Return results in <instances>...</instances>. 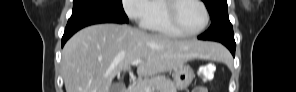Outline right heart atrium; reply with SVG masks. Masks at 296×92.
<instances>
[{
  "instance_id": "right-heart-atrium-1",
  "label": "right heart atrium",
  "mask_w": 296,
  "mask_h": 92,
  "mask_svg": "<svg viewBox=\"0 0 296 92\" xmlns=\"http://www.w3.org/2000/svg\"><path fill=\"white\" fill-rule=\"evenodd\" d=\"M151 2L148 0H124V11L131 21L144 26L151 16Z\"/></svg>"
}]
</instances>
